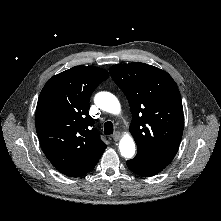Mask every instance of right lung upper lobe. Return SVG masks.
<instances>
[{
	"label": "right lung upper lobe",
	"instance_id": "obj_1",
	"mask_svg": "<svg viewBox=\"0 0 221 221\" xmlns=\"http://www.w3.org/2000/svg\"><path fill=\"white\" fill-rule=\"evenodd\" d=\"M109 77L94 66H75L48 80L37 103L35 126L45 156L62 174L91 171L106 149L88 112L92 92Z\"/></svg>",
	"mask_w": 221,
	"mask_h": 221
}]
</instances>
